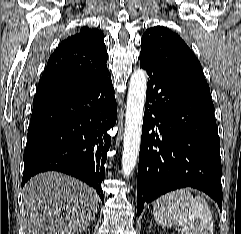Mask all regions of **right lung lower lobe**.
<instances>
[{
  "instance_id": "obj_1",
  "label": "right lung lower lobe",
  "mask_w": 241,
  "mask_h": 234,
  "mask_svg": "<svg viewBox=\"0 0 241 234\" xmlns=\"http://www.w3.org/2000/svg\"><path fill=\"white\" fill-rule=\"evenodd\" d=\"M117 119L110 73L79 87L35 97L24 151L22 187L34 175L60 171L92 186L101 183Z\"/></svg>"
}]
</instances>
